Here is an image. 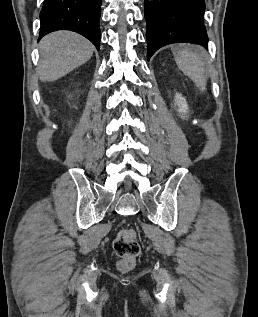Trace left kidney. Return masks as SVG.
I'll return each mask as SVG.
<instances>
[{
  "instance_id": "obj_1",
  "label": "left kidney",
  "mask_w": 258,
  "mask_h": 317,
  "mask_svg": "<svg viewBox=\"0 0 258 317\" xmlns=\"http://www.w3.org/2000/svg\"><path fill=\"white\" fill-rule=\"evenodd\" d=\"M176 106H178L179 112H188V104L186 102V98L180 94V92H177L176 98H175Z\"/></svg>"
}]
</instances>
